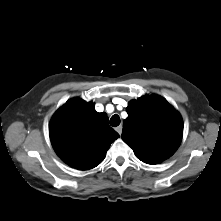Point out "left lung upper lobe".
<instances>
[{"instance_id":"5c2ea615","label":"left lung upper lobe","mask_w":221,"mask_h":221,"mask_svg":"<svg viewBox=\"0 0 221 221\" xmlns=\"http://www.w3.org/2000/svg\"><path fill=\"white\" fill-rule=\"evenodd\" d=\"M126 111L122 139L138 159L157 164L174 154L182 140L183 122L164 98L145 95L130 101Z\"/></svg>"}]
</instances>
